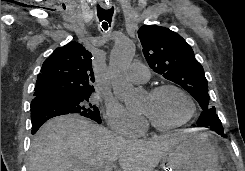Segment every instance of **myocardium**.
<instances>
[{"instance_id": "1", "label": "myocardium", "mask_w": 245, "mask_h": 171, "mask_svg": "<svg viewBox=\"0 0 245 171\" xmlns=\"http://www.w3.org/2000/svg\"><path fill=\"white\" fill-rule=\"evenodd\" d=\"M170 89L178 91L186 98L189 104V113L182 121L178 123H174V124H160L156 122L154 119H152L149 115L145 114V117L147 121L149 122V124L153 128L159 131H171V130L178 129L186 125L188 122H190L196 113V104H195L193 97L190 95V93L187 90H185L179 85L171 84V83L161 84V85L155 86L152 89H150L149 95L154 96L165 90H170Z\"/></svg>"}]
</instances>
